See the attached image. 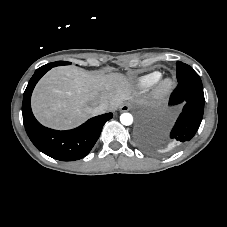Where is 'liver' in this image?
<instances>
[{"mask_svg":"<svg viewBox=\"0 0 227 227\" xmlns=\"http://www.w3.org/2000/svg\"><path fill=\"white\" fill-rule=\"evenodd\" d=\"M132 98V86L121 73L87 72L73 66L50 70L32 95V110L45 126L69 129L94 116L93 107L106 102L117 109Z\"/></svg>","mask_w":227,"mask_h":227,"instance_id":"1","label":"liver"}]
</instances>
